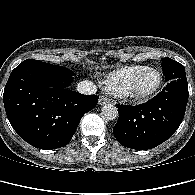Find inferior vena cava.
Here are the masks:
<instances>
[{
  "label": "inferior vena cava",
  "mask_w": 195,
  "mask_h": 195,
  "mask_svg": "<svg viewBox=\"0 0 195 195\" xmlns=\"http://www.w3.org/2000/svg\"><path fill=\"white\" fill-rule=\"evenodd\" d=\"M77 91L81 94L91 95V94H96L97 88L93 82L85 80L78 83Z\"/></svg>",
  "instance_id": "1"
}]
</instances>
